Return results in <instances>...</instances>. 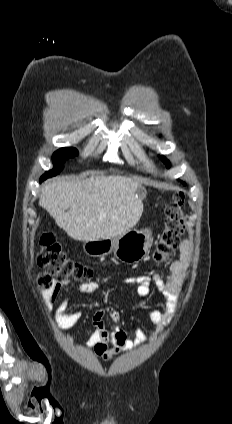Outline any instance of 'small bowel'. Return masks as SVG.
Returning a JSON list of instances; mask_svg holds the SVG:
<instances>
[{"instance_id":"c3829d8e","label":"small bowel","mask_w":232,"mask_h":424,"mask_svg":"<svg viewBox=\"0 0 232 424\" xmlns=\"http://www.w3.org/2000/svg\"><path fill=\"white\" fill-rule=\"evenodd\" d=\"M192 261V245L185 239L180 243V257L170 265L169 273L166 277L155 274L135 275L126 279L127 283L136 285L137 294L146 297L151 294V286L155 285L158 291L165 298V307L148 308L146 315L149 321L157 325L155 335H158L162 327L170 322L176 311L179 295L186 280L188 268ZM69 284L68 281L54 284L52 295L57 297L62 289ZM78 290L88 295H96L100 290V285L96 282H84L79 285ZM56 322L59 327L70 328L75 326L81 319L80 312H68V298L62 297L55 310ZM108 315L114 326L112 330H107L104 317ZM120 320L119 312L113 307L101 308L95 311L92 317L93 330L89 336L87 345L94 352L105 360L112 359L116 354L130 350L142 345L146 341V334L143 329L137 328L134 331V338L130 339L125 329L118 325Z\"/></svg>"}]
</instances>
